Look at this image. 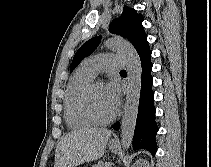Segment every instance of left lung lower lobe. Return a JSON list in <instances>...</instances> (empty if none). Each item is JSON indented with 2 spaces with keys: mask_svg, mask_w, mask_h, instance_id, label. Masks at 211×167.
Segmentation results:
<instances>
[{
  "mask_svg": "<svg viewBox=\"0 0 211 167\" xmlns=\"http://www.w3.org/2000/svg\"><path fill=\"white\" fill-rule=\"evenodd\" d=\"M141 60V90L138 107V115L133 138V149H146L151 154L157 151L155 136L158 126L155 121L154 92L152 90L153 77L151 75L152 62L151 51L142 56ZM120 123L117 122L113 128L118 130Z\"/></svg>",
  "mask_w": 211,
  "mask_h": 167,
  "instance_id": "left-lung-lower-lobe-1",
  "label": "left lung lower lobe"
}]
</instances>
